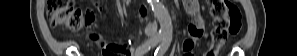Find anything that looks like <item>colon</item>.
I'll list each match as a JSON object with an SVG mask.
<instances>
[{"mask_svg": "<svg viewBox=\"0 0 297 56\" xmlns=\"http://www.w3.org/2000/svg\"><path fill=\"white\" fill-rule=\"evenodd\" d=\"M210 13L213 17L211 41L205 56H216L229 35H236L241 29V13L238 7L228 0H209ZM47 16L52 26H63L77 30L90 26L95 20V13L88 9L82 11L74 7L70 0H48Z\"/></svg>", "mask_w": 297, "mask_h": 56, "instance_id": "colon-1", "label": "colon"}]
</instances>
